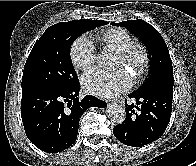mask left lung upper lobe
I'll use <instances>...</instances> for the list:
<instances>
[{"instance_id":"obj_1","label":"left lung upper lobe","mask_w":196,"mask_h":166,"mask_svg":"<svg viewBox=\"0 0 196 166\" xmlns=\"http://www.w3.org/2000/svg\"><path fill=\"white\" fill-rule=\"evenodd\" d=\"M111 24L125 27L131 31L139 37L148 50L150 59L148 78L135 92L144 91L156 86L173 88L172 60L167 45L160 33L152 25L141 19Z\"/></svg>"}]
</instances>
